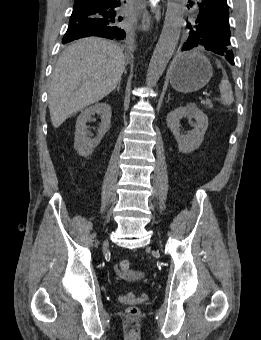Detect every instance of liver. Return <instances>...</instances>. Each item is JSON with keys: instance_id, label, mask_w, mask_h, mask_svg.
Returning <instances> with one entry per match:
<instances>
[{"instance_id": "obj_1", "label": "liver", "mask_w": 261, "mask_h": 340, "mask_svg": "<svg viewBox=\"0 0 261 340\" xmlns=\"http://www.w3.org/2000/svg\"><path fill=\"white\" fill-rule=\"evenodd\" d=\"M126 57L117 45L85 38L69 46L52 73L49 111L54 128L107 96L121 80Z\"/></svg>"}]
</instances>
